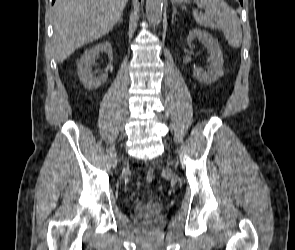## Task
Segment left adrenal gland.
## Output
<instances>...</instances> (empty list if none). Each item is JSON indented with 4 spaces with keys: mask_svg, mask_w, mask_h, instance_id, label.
I'll return each mask as SVG.
<instances>
[{
    "mask_svg": "<svg viewBox=\"0 0 295 250\" xmlns=\"http://www.w3.org/2000/svg\"><path fill=\"white\" fill-rule=\"evenodd\" d=\"M176 13H177V9L175 7H173L172 19H174V16L176 15Z\"/></svg>",
    "mask_w": 295,
    "mask_h": 250,
    "instance_id": "obj_1",
    "label": "left adrenal gland"
}]
</instances>
